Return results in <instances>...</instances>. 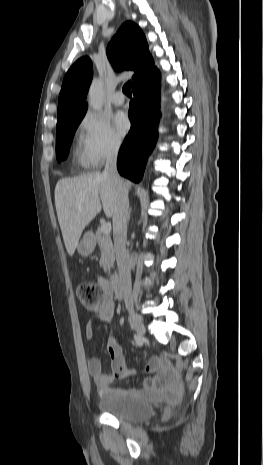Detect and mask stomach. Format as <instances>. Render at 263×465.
<instances>
[{
    "instance_id": "0dacf381",
    "label": "stomach",
    "mask_w": 263,
    "mask_h": 465,
    "mask_svg": "<svg viewBox=\"0 0 263 465\" xmlns=\"http://www.w3.org/2000/svg\"><path fill=\"white\" fill-rule=\"evenodd\" d=\"M95 245L96 241L93 234L87 232L84 234L83 238L77 244V251L81 256L87 257L93 253Z\"/></svg>"
}]
</instances>
